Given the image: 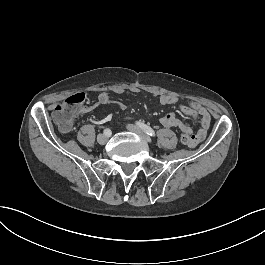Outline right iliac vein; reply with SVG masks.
<instances>
[{"label":"right iliac vein","instance_id":"63e3f726","mask_svg":"<svg viewBox=\"0 0 265 265\" xmlns=\"http://www.w3.org/2000/svg\"><path fill=\"white\" fill-rule=\"evenodd\" d=\"M97 141L100 145H104L108 141V136L105 134H99L97 137Z\"/></svg>","mask_w":265,"mask_h":265}]
</instances>
